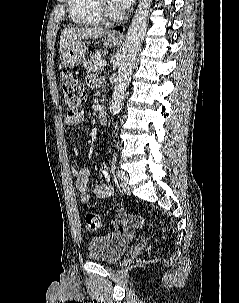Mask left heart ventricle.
<instances>
[{
	"label": "left heart ventricle",
	"instance_id": "b2bd125f",
	"mask_svg": "<svg viewBox=\"0 0 239 303\" xmlns=\"http://www.w3.org/2000/svg\"><path fill=\"white\" fill-rule=\"evenodd\" d=\"M107 4L113 8L114 10H117V8L113 5L112 0H106Z\"/></svg>",
	"mask_w": 239,
	"mask_h": 303
}]
</instances>
